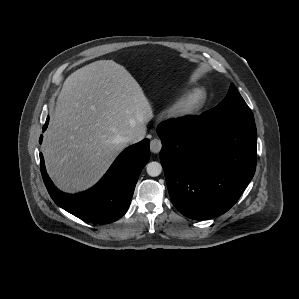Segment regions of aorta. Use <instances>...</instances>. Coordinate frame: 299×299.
I'll list each match as a JSON object with an SVG mask.
<instances>
[{
	"label": "aorta",
	"mask_w": 299,
	"mask_h": 299,
	"mask_svg": "<svg viewBox=\"0 0 299 299\" xmlns=\"http://www.w3.org/2000/svg\"><path fill=\"white\" fill-rule=\"evenodd\" d=\"M146 169L148 175L152 177L159 176L162 172L161 164L155 161L148 163Z\"/></svg>",
	"instance_id": "1"
}]
</instances>
